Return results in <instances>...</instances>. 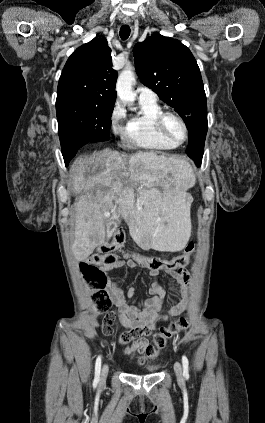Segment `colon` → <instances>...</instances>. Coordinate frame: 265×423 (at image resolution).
<instances>
[{
    "label": "colon",
    "instance_id": "obj_1",
    "mask_svg": "<svg viewBox=\"0 0 265 423\" xmlns=\"http://www.w3.org/2000/svg\"><path fill=\"white\" fill-rule=\"evenodd\" d=\"M125 241V230L120 228L113 234L108 242L102 244L90 257L79 264V269L83 278L91 287V300L97 313L106 312L111 304L110 296L104 288L106 285L105 274L98 266L115 263L117 261L116 251L124 245ZM192 252L193 245H189L183 255L172 259H161L135 253H126L125 255L144 265L150 272L160 273L178 271L185 267ZM189 323L190 320L187 317H180L168 327L162 328L160 332L156 334L154 343L146 346L145 352L147 356L151 358L155 357L158 351L165 347L167 341L177 336L180 331L186 329ZM111 325L112 318L107 316L102 324V330L105 334H111Z\"/></svg>",
    "mask_w": 265,
    "mask_h": 423
}]
</instances>
